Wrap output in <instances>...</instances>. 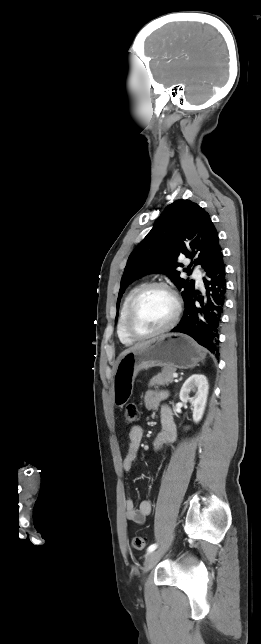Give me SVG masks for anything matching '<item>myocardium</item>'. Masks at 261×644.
<instances>
[{
    "instance_id": "f54148a6",
    "label": "myocardium",
    "mask_w": 261,
    "mask_h": 644,
    "mask_svg": "<svg viewBox=\"0 0 261 644\" xmlns=\"http://www.w3.org/2000/svg\"><path fill=\"white\" fill-rule=\"evenodd\" d=\"M152 288H161L170 294L174 302V313L171 320L162 328L147 334H139L133 328L134 312L139 299L142 297V295L145 292H147ZM181 311H182L181 300L178 294L176 293V291L172 287H170L165 282H161V281L148 282L140 286L139 289L134 293L133 297L131 298L127 308L126 316H125L124 328L127 335L134 341H144V340L162 335L172 330L179 321Z\"/></svg>"
}]
</instances>
